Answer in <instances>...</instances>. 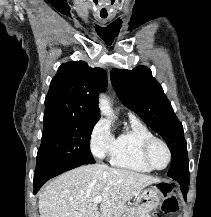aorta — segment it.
<instances>
[{"instance_id": "1", "label": "aorta", "mask_w": 211, "mask_h": 217, "mask_svg": "<svg viewBox=\"0 0 211 217\" xmlns=\"http://www.w3.org/2000/svg\"><path fill=\"white\" fill-rule=\"evenodd\" d=\"M99 108H100L102 115H104L106 117H112L113 116L112 107L110 105L109 100L106 97H100Z\"/></svg>"}]
</instances>
